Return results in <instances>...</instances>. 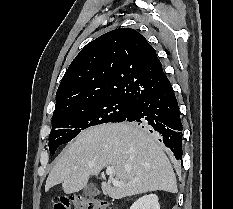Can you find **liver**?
Segmentation results:
<instances>
[{
  "label": "liver",
  "instance_id": "1",
  "mask_svg": "<svg viewBox=\"0 0 233 209\" xmlns=\"http://www.w3.org/2000/svg\"><path fill=\"white\" fill-rule=\"evenodd\" d=\"M105 167H113L115 179L123 183H101L103 194L112 199L157 190L177 192L173 168L161 146L146 130L129 123L103 124L81 132L56 161L45 190L61 183L66 194L78 192Z\"/></svg>",
  "mask_w": 233,
  "mask_h": 209
}]
</instances>
